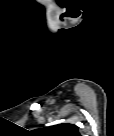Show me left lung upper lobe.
<instances>
[{"label":"left lung upper lobe","instance_id":"1","mask_svg":"<svg viewBox=\"0 0 114 136\" xmlns=\"http://www.w3.org/2000/svg\"><path fill=\"white\" fill-rule=\"evenodd\" d=\"M41 136H79V130L76 125L62 123L40 129Z\"/></svg>","mask_w":114,"mask_h":136}]
</instances>
